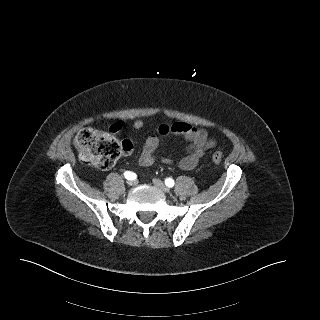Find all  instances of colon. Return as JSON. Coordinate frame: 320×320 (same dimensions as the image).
<instances>
[{
    "label": "colon",
    "mask_w": 320,
    "mask_h": 320,
    "mask_svg": "<svg viewBox=\"0 0 320 320\" xmlns=\"http://www.w3.org/2000/svg\"><path fill=\"white\" fill-rule=\"evenodd\" d=\"M111 132L113 130L111 129ZM75 144L80 149L86 161L100 169H108L117 161L122 151L128 152L132 145L128 141L119 142L112 134L86 128L77 133ZM215 164L222 162V154L216 150L212 154Z\"/></svg>",
    "instance_id": "colon-1"
}]
</instances>
